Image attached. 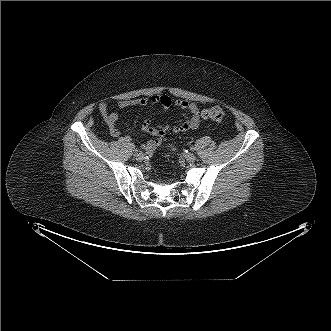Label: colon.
I'll use <instances>...</instances> for the list:
<instances>
[{"instance_id": "1", "label": "colon", "mask_w": 331, "mask_h": 331, "mask_svg": "<svg viewBox=\"0 0 331 331\" xmlns=\"http://www.w3.org/2000/svg\"><path fill=\"white\" fill-rule=\"evenodd\" d=\"M203 117L216 122H224L227 113L221 106H211L203 110Z\"/></svg>"}]
</instances>
